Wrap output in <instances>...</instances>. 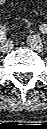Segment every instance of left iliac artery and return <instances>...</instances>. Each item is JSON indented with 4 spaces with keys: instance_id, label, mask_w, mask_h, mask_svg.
<instances>
[{
    "instance_id": "obj_1",
    "label": "left iliac artery",
    "mask_w": 47,
    "mask_h": 129,
    "mask_svg": "<svg viewBox=\"0 0 47 129\" xmlns=\"http://www.w3.org/2000/svg\"><path fill=\"white\" fill-rule=\"evenodd\" d=\"M40 30H41L42 33H46L47 28H46V26H42Z\"/></svg>"
}]
</instances>
